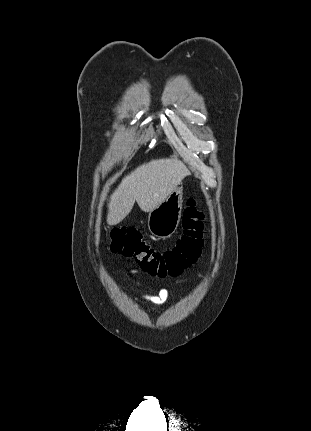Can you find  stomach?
<instances>
[{"label": "stomach", "instance_id": "1", "mask_svg": "<svg viewBox=\"0 0 311 431\" xmlns=\"http://www.w3.org/2000/svg\"><path fill=\"white\" fill-rule=\"evenodd\" d=\"M183 186H177L158 208L148 214V229L155 237H170L182 216Z\"/></svg>", "mask_w": 311, "mask_h": 431}]
</instances>
